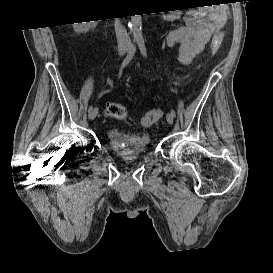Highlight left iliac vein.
I'll use <instances>...</instances> for the list:
<instances>
[{"instance_id":"obj_1","label":"left iliac vein","mask_w":273,"mask_h":273,"mask_svg":"<svg viewBox=\"0 0 273 273\" xmlns=\"http://www.w3.org/2000/svg\"><path fill=\"white\" fill-rule=\"evenodd\" d=\"M166 119H167V122H168L169 124H173L174 117L172 116L171 113H168V114L166 115Z\"/></svg>"}]
</instances>
